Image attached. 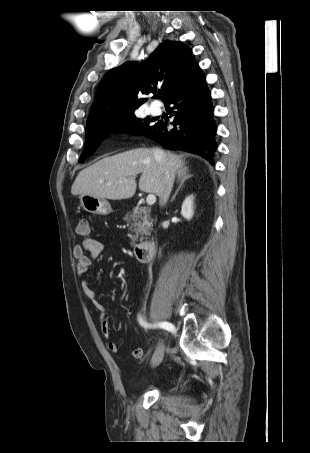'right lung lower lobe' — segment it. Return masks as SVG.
I'll return each mask as SVG.
<instances>
[{"instance_id":"1","label":"right lung lower lobe","mask_w":310,"mask_h":453,"mask_svg":"<svg viewBox=\"0 0 310 453\" xmlns=\"http://www.w3.org/2000/svg\"><path fill=\"white\" fill-rule=\"evenodd\" d=\"M174 128L167 129V123L158 122L144 134L171 150H185L196 153L214 164L213 155L217 148L214 140L216 125L213 121L211 94L205 77L198 67L192 76L165 102Z\"/></svg>"}]
</instances>
